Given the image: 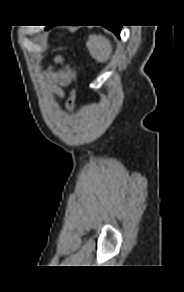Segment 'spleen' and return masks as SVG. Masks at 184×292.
I'll return each mask as SVG.
<instances>
[{
	"label": "spleen",
	"instance_id": "spleen-1",
	"mask_svg": "<svg viewBox=\"0 0 184 292\" xmlns=\"http://www.w3.org/2000/svg\"><path fill=\"white\" fill-rule=\"evenodd\" d=\"M87 47L91 56L100 63L107 62L112 55L110 41L101 35H90Z\"/></svg>",
	"mask_w": 184,
	"mask_h": 292
}]
</instances>
